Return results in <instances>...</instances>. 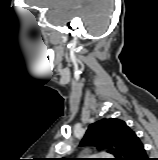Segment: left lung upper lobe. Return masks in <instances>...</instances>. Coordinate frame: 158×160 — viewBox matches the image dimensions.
Wrapping results in <instances>:
<instances>
[{
    "instance_id": "left-lung-upper-lobe-1",
    "label": "left lung upper lobe",
    "mask_w": 158,
    "mask_h": 160,
    "mask_svg": "<svg viewBox=\"0 0 158 160\" xmlns=\"http://www.w3.org/2000/svg\"><path fill=\"white\" fill-rule=\"evenodd\" d=\"M132 133L133 131L122 120L116 118L102 119L88 127L80 146H96L98 149L107 147L111 149L115 145L118 150L115 152L117 158H114V160H119V154L124 153ZM61 160L83 159L61 158Z\"/></svg>"
}]
</instances>
